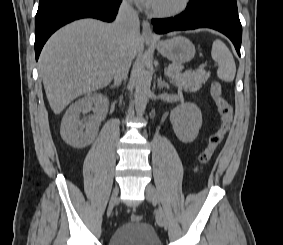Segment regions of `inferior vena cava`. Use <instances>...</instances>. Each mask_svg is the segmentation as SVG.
Returning <instances> with one entry per match:
<instances>
[{
	"label": "inferior vena cava",
	"mask_w": 283,
	"mask_h": 245,
	"mask_svg": "<svg viewBox=\"0 0 283 245\" xmlns=\"http://www.w3.org/2000/svg\"><path fill=\"white\" fill-rule=\"evenodd\" d=\"M113 25L121 42V50L113 75L114 83L118 86L120 85L121 81L127 77L129 72L132 61L129 48L140 26L136 11L126 0H123L122 4L120 5L116 20Z\"/></svg>",
	"instance_id": "inferior-vena-cava-1"
}]
</instances>
